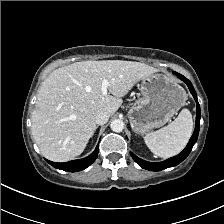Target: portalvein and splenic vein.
<instances>
[{
	"mask_svg": "<svg viewBox=\"0 0 224 224\" xmlns=\"http://www.w3.org/2000/svg\"><path fill=\"white\" fill-rule=\"evenodd\" d=\"M109 85L110 84H109V82L106 79H104L102 81L101 90H102V95L103 96L107 95V89H108Z\"/></svg>",
	"mask_w": 224,
	"mask_h": 224,
	"instance_id": "portal-vein-and-splenic-vein-1",
	"label": "portal vein and splenic vein"
}]
</instances>
